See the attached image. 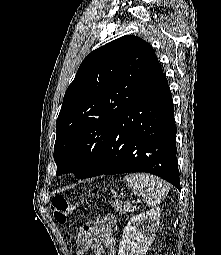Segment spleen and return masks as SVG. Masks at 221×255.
<instances>
[{"instance_id":"3e777b00","label":"spleen","mask_w":221,"mask_h":255,"mask_svg":"<svg viewBox=\"0 0 221 255\" xmlns=\"http://www.w3.org/2000/svg\"><path fill=\"white\" fill-rule=\"evenodd\" d=\"M134 194L142 196L149 207L160 204L169 192L168 184L153 175L136 173L124 177Z\"/></svg>"}]
</instances>
